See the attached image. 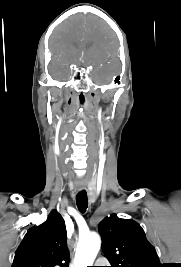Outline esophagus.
Instances as JSON below:
<instances>
[{"instance_id": "34e87169", "label": "esophagus", "mask_w": 181, "mask_h": 267, "mask_svg": "<svg viewBox=\"0 0 181 267\" xmlns=\"http://www.w3.org/2000/svg\"><path fill=\"white\" fill-rule=\"evenodd\" d=\"M78 190H80V191H81V190H82V188H78Z\"/></svg>"}]
</instances>
